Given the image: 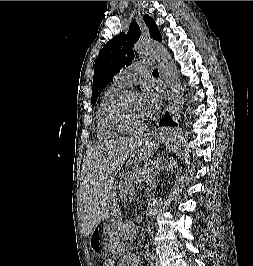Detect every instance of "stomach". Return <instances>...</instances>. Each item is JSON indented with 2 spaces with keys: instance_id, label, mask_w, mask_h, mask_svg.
Returning a JSON list of instances; mask_svg holds the SVG:
<instances>
[{
  "instance_id": "obj_1",
  "label": "stomach",
  "mask_w": 253,
  "mask_h": 266,
  "mask_svg": "<svg viewBox=\"0 0 253 266\" xmlns=\"http://www.w3.org/2000/svg\"><path fill=\"white\" fill-rule=\"evenodd\" d=\"M176 138L181 139L183 144V138L179 133L162 130L160 137L155 141L144 140L136 149L134 156L127 162V165L130 162H142L150 159L153 152L158 148L160 141L164 142L167 147H173V141ZM116 189L117 186H114L112 195L116 193ZM121 224L122 216L118 203L111 198L100 226L95 227L90 236V247L96 256L106 257L115 251L121 236Z\"/></svg>"
}]
</instances>
